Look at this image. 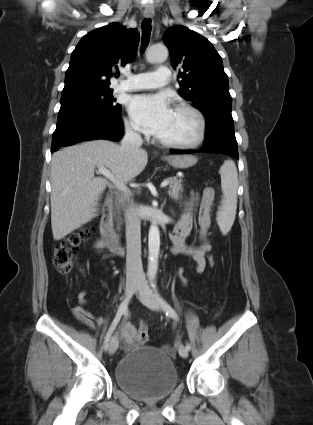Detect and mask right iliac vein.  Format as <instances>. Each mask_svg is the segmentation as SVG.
I'll list each match as a JSON object with an SVG mask.
<instances>
[{"mask_svg": "<svg viewBox=\"0 0 313 425\" xmlns=\"http://www.w3.org/2000/svg\"><path fill=\"white\" fill-rule=\"evenodd\" d=\"M138 287H139V283L137 282L127 283L125 288V297L127 299L130 298L133 295V293L138 289ZM117 348H118V339L114 336L112 337L109 343V353L111 355L114 354Z\"/></svg>", "mask_w": 313, "mask_h": 425, "instance_id": "63e3f726", "label": "right iliac vein"}]
</instances>
